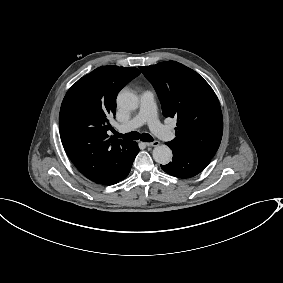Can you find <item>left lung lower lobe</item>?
I'll return each mask as SVG.
<instances>
[{
    "mask_svg": "<svg viewBox=\"0 0 283 283\" xmlns=\"http://www.w3.org/2000/svg\"><path fill=\"white\" fill-rule=\"evenodd\" d=\"M173 152V159L167 165H161V168L168 174L178 178H190L206 168L211 159L200 156L184 149L174 147L166 143Z\"/></svg>",
    "mask_w": 283,
    "mask_h": 283,
    "instance_id": "0a47b994",
    "label": "left lung lower lobe"
}]
</instances>
